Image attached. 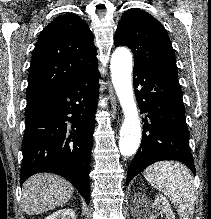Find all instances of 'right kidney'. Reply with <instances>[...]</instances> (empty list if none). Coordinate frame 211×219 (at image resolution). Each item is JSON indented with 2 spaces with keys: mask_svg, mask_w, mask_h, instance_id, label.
Here are the masks:
<instances>
[{
  "mask_svg": "<svg viewBox=\"0 0 211 219\" xmlns=\"http://www.w3.org/2000/svg\"><path fill=\"white\" fill-rule=\"evenodd\" d=\"M45 219H76V216L73 209L65 208L52 213Z\"/></svg>",
  "mask_w": 211,
  "mask_h": 219,
  "instance_id": "ca27d5eb",
  "label": "right kidney"
}]
</instances>
